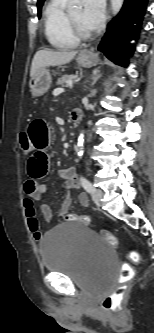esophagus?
<instances>
[{"instance_id":"34e87169","label":"esophagus","mask_w":154,"mask_h":333,"mask_svg":"<svg viewBox=\"0 0 154 333\" xmlns=\"http://www.w3.org/2000/svg\"><path fill=\"white\" fill-rule=\"evenodd\" d=\"M90 51L92 52V51H94V48L92 47V48H90Z\"/></svg>"}]
</instances>
